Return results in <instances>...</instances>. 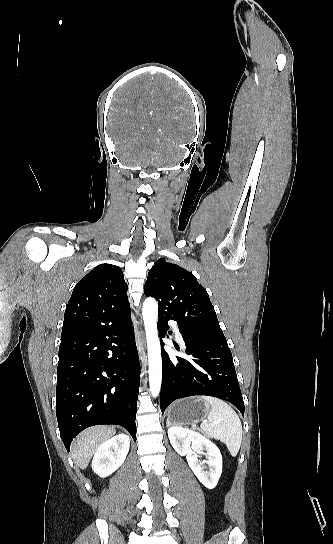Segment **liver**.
Returning <instances> with one entry per match:
<instances>
[{
    "label": "liver",
    "mask_w": 333,
    "mask_h": 544,
    "mask_svg": "<svg viewBox=\"0 0 333 544\" xmlns=\"http://www.w3.org/2000/svg\"><path fill=\"white\" fill-rule=\"evenodd\" d=\"M114 427L96 426L82 432L72 443V458L81 469L87 468L101 444L115 434Z\"/></svg>",
    "instance_id": "liver-1"
}]
</instances>
